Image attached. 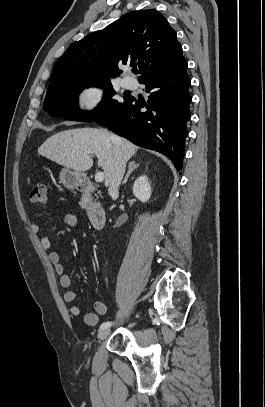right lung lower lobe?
<instances>
[{"label": "right lung lower lobe", "instance_id": "98d812e1", "mask_svg": "<svg viewBox=\"0 0 265 407\" xmlns=\"http://www.w3.org/2000/svg\"><path fill=\"white\" fill-rule=\"evenodd\" d=\"M139 82L150 93L147 102L128 97L95 121L138 146L166 155L179 171L192 100L189 94L191 81L182 52Z\"/></svg>", "mask_w": 265, "mask_h": 407}]
</instances>
